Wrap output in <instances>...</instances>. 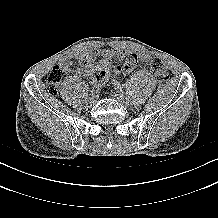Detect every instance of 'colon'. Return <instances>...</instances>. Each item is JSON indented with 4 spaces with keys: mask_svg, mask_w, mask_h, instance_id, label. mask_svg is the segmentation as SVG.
<instances>
[{
    "mask_svg": "<svg viewBox=\"0 0 218 218\" xmlns=\"http://www.w3.org/2000/svg\"><path fill=\"white\" fill-rule=\"evenodd\" d=\"M151 71L160 85H164L167 83L169 79V74L163 61L157 58L152 59ZM121 72H123L122 67L117 65H111L105 70H102L98 73V75L96 76V82L94 84L97 86H103L105 82L115 78ZM62 78L63 72L60 66L57 65L53 67L47 79V91L49 94L56 95L58 93L59 85L62 81Z\"/></svg>",
    "mask_w": 218,
    "mask_h": 218,
    "instance_id": "obj_1",
    "label": "colon"
}]
</instances>
